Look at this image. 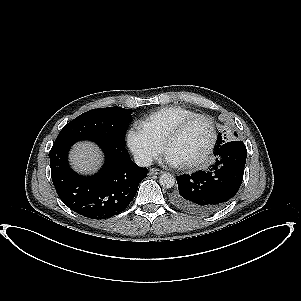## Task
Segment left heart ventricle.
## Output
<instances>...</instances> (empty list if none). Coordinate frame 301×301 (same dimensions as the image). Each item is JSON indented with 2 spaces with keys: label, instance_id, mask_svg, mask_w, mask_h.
Wrapping results in <instances>:
<instances>
[{
  "label": "left heart ventricle",
  "instance_id": "1",
  "mask_svg": "<svg viewBox=\"0 0 301 301\" xmlns=\"http://www.w3.org/2000/svg\"><path fill=\"white\" fill-rule=\"evenodd\" d=\"M210 137L211 129L209 124L203 120L195 121L170 143L167 152L188 163L196 160L205 152Z\"/></svg>",
  "mask_w": 301,
  "mask_h": 301
}]
</instances>
